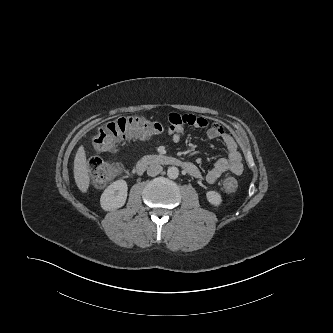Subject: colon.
<instances>
[{
  "mask_svg": "<svg viewBox=\"0 0 333 333\" xmlns=\"http://www.w3.org/2000/svg\"><path fill=\"white\" fill-rule=\"evenodd\" d=\"M164 131L161 123L144 117L133 116L119 118L101 127L93 139V145L99 152H113L117 145L130 139L150 138ZM93 181L97 185H105L111 181L120 171L118 165L91 158L88 163ZM223 188L232 193L238 187L235 177L228 175L223 179Z\"/></svg>",
  "mask_w": 333,
  "mask_h": 333,
  "instance_id": "obj_1",
  "label": "colon"
}]
</instances>
